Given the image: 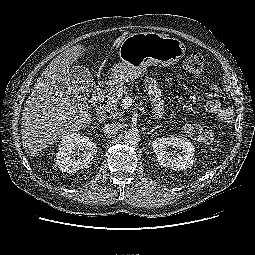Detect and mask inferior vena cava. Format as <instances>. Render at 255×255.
<instances>
[{
  "mask_svg": "<svg viewBox=\"0 0 255 255\" xmlns=\"http://www.w3.org/2000/svg\"><path fill=\"white\" fill-rule=\"evenodd\" d=\"M119 128H120L119 123L111 122V123H107L103 127V132L105 134L112 135V134H115L119 130Z\"/></svg>",
  "mask_w": 255,
  "mask_h": 255,
  "instance_id": "602c4592",
  "label": "inferior vena cava"
}]
</instances>
